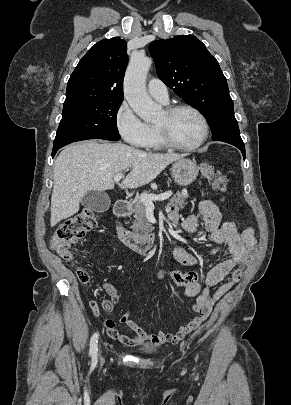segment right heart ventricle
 Masks as SVG:
<instances>
[{
    "mask_svg": "<svg viewBox=\"0 0 291 405\" xmlns=\"http://www.w3.org/2000/svg\"><path fill=\"white\" fill-rule=\"evenodd\" d=\"M151 129H152L151 138L146 147L149 149H153V150L162 149L164 147V145L160 140L156 127H151Z\"/></svg>",
    "mask_w": 291,
    "mask_h": 405,
    "instance_id": "obj_1",
    "label": "right heart ventricle"
}]
</instances>
